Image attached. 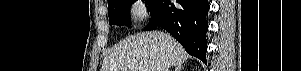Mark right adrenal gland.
<instances>
[{"mask_svg": "<svg viewBox=\"0 0 301 71\" xmlns=\"http://www.w3.org/2000/svg\"><path fill=\"white\" fill-rule=\"evenodd\" d=\"M183 70H184V68L182 65H177L174 69V71H183Z\"/></svg>", "mask_w": 301, "mask_h": 71, "instance_id": "right-adrenal-gland-1", "label": "right adrenal gland"}]
</instances>
